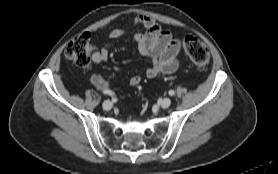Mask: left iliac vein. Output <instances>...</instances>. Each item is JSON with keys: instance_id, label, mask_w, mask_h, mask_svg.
Returning a JSON list of instances; mask_svg holds the SVG:
<instances>
[{"instance_id": "4c4485c4", "label": "left iliac vein", "mask_w": 278, "mask_h": 174, "mask_svg": "<svg viewBox=\"0 0 278 174\" xmlns=\"http://www.w3.org/2000/svg\"><path fill=\"white\" fill-rule=\"evenodd\" d=\"M171 104V99L170 98H164L162 101H161V107L162 108H168Z\"/></svg>"}]
</instances>
